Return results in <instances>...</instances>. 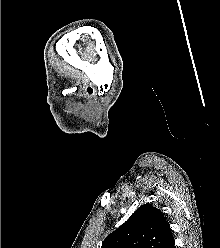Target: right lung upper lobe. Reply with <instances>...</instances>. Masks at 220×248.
Segmentation results:
<instances>
[{"mask_svg": "<svg viewBox=\"0 0 220 248\" xmlns=\"http://www.w3.org/2000/svg\"><path fill=\"white\" fill-rule=\"evenodd\" d=\"M170 239L172 231L164 214L147 203L108 235L101 248H163Z\"/></svg>", "mask_w": 220, "mask_h": 248, "instance_id": "right-lung-upper-lobe-1", "label": "right lung upper lobe"}]
</instances>
